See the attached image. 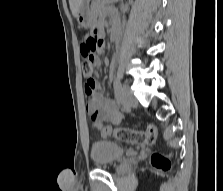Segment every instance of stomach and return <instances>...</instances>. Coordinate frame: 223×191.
Segmentation results:
<instances>
[{"instance_id": "stomach-1", "label": "stomach", "mask_w": 223, "mask_h": 191, "mask_svg": "<svg viewBox=\"0 0 223 191\" xmlns=\"http://www.w3.org/2000/svg\"><path fill=\"white\" fill-rule=\"evenodd\" d=\"M89 1L84 0L83 6L76 17L78 24L83 28H91L93 26V12L89 7Z\"/></svg>"}]
</instances>
